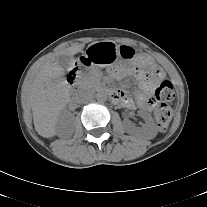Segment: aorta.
<instances>
[{
	"label": "aorta",
	"mask_w": 207,
	"mask_h": 207,
	"mask_svg": "<svg viewBox=\"0 0 207 207\" xmlns=\"http://www.w3.org/2000/svg\"><path fill=\"white\" fill-rule=\"evenodd\" d=\"M95 97H96L98 102H105L108 98V95L105 91L101 90V91L96 93Z\"/></svg>",
	"instance_id": "aorta-1"
}]
</instances>
